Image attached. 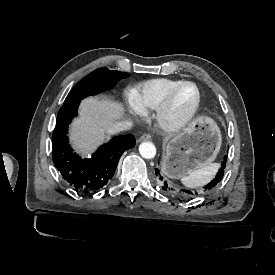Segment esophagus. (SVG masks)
<instances>
[{"instance_id": "obj_1", "label": "esophagus", "mask_w": 275, "mask_h": 275, "mask_svg": "<svg viewBox=\"0 0 275 275\" xmlns=\"http://www.w3.org/2000/svg\"><path fill=\"white\" fill-rule=\"evenodd\" d=\"M151 137H152V136H151L150 134H143V135L139 138V141L150 140Z\"/></svg>"}]
</instances>
